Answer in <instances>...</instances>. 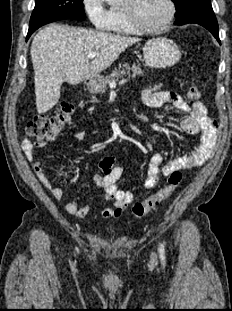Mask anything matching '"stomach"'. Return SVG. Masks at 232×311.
Returning <instances> with one entry per match:
<instances>
[{
    "label": "stomach",
    "mask_w": 232,
    "mask_h": 311,
    "mask_svg": "<svg viewBox=\"0 0 232 311\" xmlns=\"http://www.w3.org/2000/svg\"><path fill=\"white\" fill-rule=\"evenodd\" d=\"M143 58L145 63L152 68L171 67L179 62L181 51L178 45L166 37H157L148 40L143 47ZM103 78L94 76L87 83L91 93L101 91Z\"/></svg>",
    "instance_id": "obj_1"
}]
</instances>
